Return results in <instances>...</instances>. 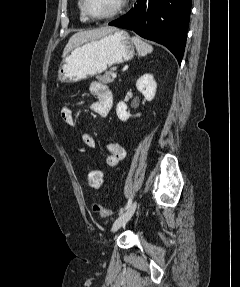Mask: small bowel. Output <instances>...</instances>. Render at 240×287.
I'll return each mask as SVG.
<instances>
[{
  "label": "small bowel",
  "mask_w": 240,
  "mask_h": 287,
  "mask_svg": "<svg viewBox=\"0 0 240 287\" xmlns=\"http://www.w3.org/2000/svg\"><path fill=\"white\" fill-rule=\"evenodd\" d=\"M90 92L93 96L96 97V101L92 103L91 110L100 115L107 116L113 105V95L110 88L102 82H92L90 84ZM61 119L70 126H76L77 120L73 111L67 107L62 106L60 109ZM82 142L90 148L95 146V140L90 133L85 130H82L80 133ZM105 149L107 151V156L105 158V164L108 167H115L120 161H122L126 156V151L123 146L120 144L107 141L105 144Z\"/></svg>",
  "instance_id": "c3829d8e"
}]
</instances>
